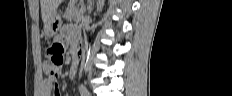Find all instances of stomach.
Returning <instances> with one entry per match:
<instances>
[{"label": "stomach", "instance_id": "stomach-1", "mask_svg": "<svg viewBox=\"0 0 232 96\" xmlns=\"http://www.w3.org/2000/svg\"><path fill=\"white\" fill-rule=\"evenodd\" d=\"M62 24L61 18L58 14L54 13L49 22L44 26L45 34L48 37H53L59 30Z\"/></svg>", "mask_w": 232, "mask_h": 96}]
</instances>
